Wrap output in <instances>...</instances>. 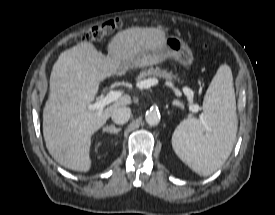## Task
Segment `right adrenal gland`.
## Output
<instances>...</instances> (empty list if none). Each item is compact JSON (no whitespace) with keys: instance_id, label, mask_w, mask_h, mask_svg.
<instances>
[{"instance_id":"right-adrenal-gland-1","label":"right adrenal gland","mask_w":275,"mask_h":215,"mask_svg":"<svg viewBox=\"0 0 275 215\" xmlns=\"http://www.w3.org/2000/svg\"><path fill=\"white\" fill-rule=\"evenodd\" d=\"M122 130V128H116L114 125H110V126H107L105 128H103V132H107V133H110V134H118L120 131Z\"/></svg>"}]
</instances>
